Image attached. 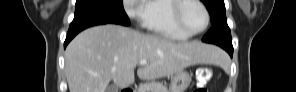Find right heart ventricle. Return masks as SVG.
Here are the masks:
<instances>
[{"mask_svg":"<svg viewBox=\"0 0 296 92\" xmlns=\"http://www.w3.org/2000/svg\"><path fill=\"white\" fill-rule=\"evenodd\" d=\"M175 0H152L146 4L143 27L148 31L173 40L188 38L174 24L172 10Z\"/></svg>","mask_w":296,"mask_h":92,"instance_id":"obj_1","label":"right heart ventricle"}]
</instances>
